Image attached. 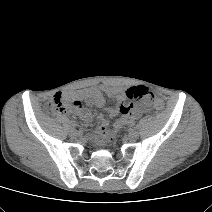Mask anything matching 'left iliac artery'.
<instances>
[{"instance_id":"44dca946","label":"left iliac artery","mask_w":212,"mask_h":212,"mask_svg":"<svg viewBox=\"0 0 212 212\" xmlns=\"http://www.w3.org/2000/svg\"><path fill=\"white\" fill-rule=\"evenodd\" d=\"M139 127H140V126H139L138 124L135 125V128H136V129H139Z\"/></svg>"}]
</instances>
